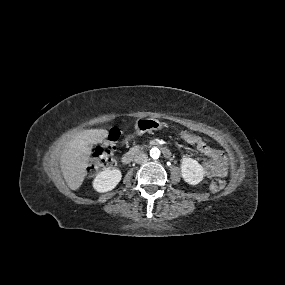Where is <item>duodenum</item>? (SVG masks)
<instances>
[{"instance_id":"410a0bca","label":"duodenum","mask_w":285,"mask_h":285,"mask_svg":"<svg viewBox=\"0 0 285 285\" xmlns=\"http://www.w3.org/2000/svg\"><path fill=\"white\" fill-rule=\"evenodd\" d=\"M142 149H143V147L137 146V147H134V148L128 150L127 152H125L122 155V158H121L122 162L125 163V164L131 162L132 159L134 158V156L136 154H138ZM160 149H161L163 155L166 158H170L171 157V152H170V150L168 148L162 146V147H160Z\"/></svg>"}]
</instances>
